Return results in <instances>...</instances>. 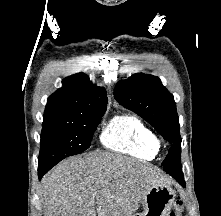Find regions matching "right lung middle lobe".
I'll use <instances>...</instances> for the list:
<instances>
[{
	"label": "right lung middle lobe",
	"mask_w": 221,
	"mask_h": 216,
	"mask_svg": "<svg viewBox=\"0 0 221 216\" xmlns=\"http://www.w3.org/2000/svg\"><path fill=\"white\" fill-rule=\"evenodd\" d=\"M104 113L87 114L68 122L43 124L39 166L53 167L64 158L87 150Z\"/></svg>",
	"instance_id": "1"
}]
</instances>
